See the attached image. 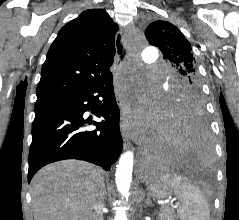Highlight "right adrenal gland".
Segmentation results:
<instances>
[{
	"instance_id": "1",
	"label": "right adrenal gland",
	"mask_w": 239,
	"mask_h": 220,
	"mask_svg": "<svg viewBox=\"0 0 239 220\" xmlns=\"http://www.w3.org/2000/svg\"><path fill=\"white\" fill-rule=\"evenodd\" d=\"M105 195H106V188H105V185L103 184V186L99 192V199L103 200L105 198Z\"/></svg>"
}]
</instances>
